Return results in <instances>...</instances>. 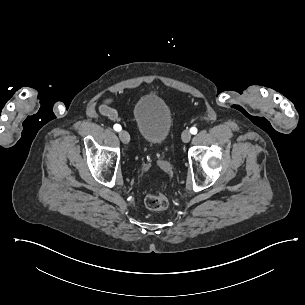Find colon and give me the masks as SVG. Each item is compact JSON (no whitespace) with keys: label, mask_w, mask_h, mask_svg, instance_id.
Here are the masks:
<instances>
[{"label":"colon","mask_w":305,"mask_h":305,"mask_svg":"<svg viewBox=\"0 0 305 305\" xmlns=\"http://www.w3.org/2000/svg\"><path fill=\"white\" fill-rule=\"evenodd\" d=\"M144 203L152 211H161L167 207L168 199L163 193H152L145 196Z\"/></svg>","instance_id":"1"}]
</instances>
